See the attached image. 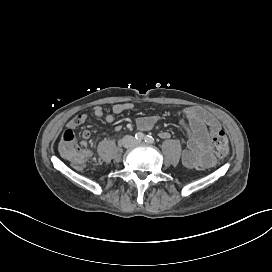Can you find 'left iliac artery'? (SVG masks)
Segmentation results:
<instances>
[{"label": "left iliac artery", "mask_w": 272, "mask_h": 272, "mask_svg": "<svg viewBox=\"0 0 272 272\" xmlns=\"http://www.w3.org/2000/svg\"><path fill=\"white\" fill-rule=\"evenodd\" d=\"M144 140L148 144H154L155 143L154 138L152 136H150V135H146L145 138H144Z\"/></svg>", "instance_id": "44dca946"}]
</instances>
